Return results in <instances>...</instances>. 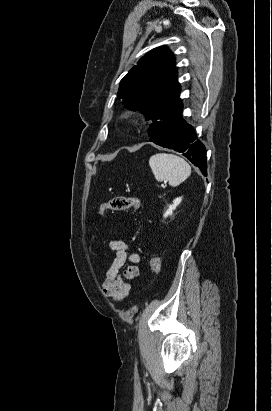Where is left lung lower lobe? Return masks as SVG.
Segmentation results:
<instances>
[{
  "label": "left lung lower lobe",
  "instance_id": "obj_1",
  "mask_svg": "<svg viewBox=\"0 0 272 411\" xmlns=\"http://www.w3.org/2000/svg\"><path fill=\"white\" fill-rule=\"evenodd\" d=\"M150 141L183 153L187 159L199 167L203 175L207 176L205 147L197 140L193 127L182 118V109L150 136Z\"/></svg>",
  "mask_w": 272,
  "mask_h": 411
}]
</instances>
